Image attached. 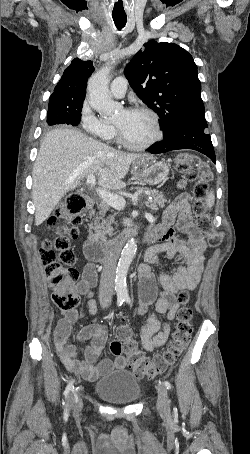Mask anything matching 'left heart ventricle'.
<instances>
[{"label":"left heart ventricle","instance_id":"b2bd125f","mask_svg":"<svg viewBox=\"0 0 250 454\" xmlns=\"http://www.w3.org/2000/svg\"><path fill=\"white\" fill-rule=\"evenodd\" d=\"M127 141L143 144L150 140L155 132L151 117L143 112L122 110L114 120Z\"/></svg>","mask_w":250,"mask_h":454}]
</instances>
